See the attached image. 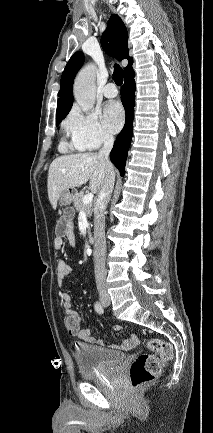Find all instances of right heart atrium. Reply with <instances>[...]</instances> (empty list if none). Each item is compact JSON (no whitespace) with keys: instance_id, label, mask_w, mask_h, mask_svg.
<instances>
[{"instance_id":"d8ad5b80","label":"right heart atrium","mask_w":213,"mask_h":433,"mask_svg":"<svg viewBox=\"0 0 213 433\" xmlns=\"http://www.w3.org/2000/svg\"><path fill=\"white\" fill-rule=\"evenodd\" d=\"M64 127L73 145L80 149L94 150L113 139L96 112H84L78 107L71 110Z\"/></svg>"}]
</instances>
